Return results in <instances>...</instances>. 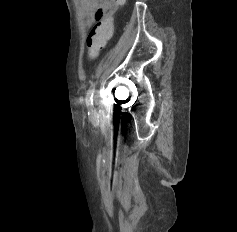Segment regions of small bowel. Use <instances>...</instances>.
<instances>
[{
    "label": "small bowel",
    "instance_id": "small-bowel-1",
    "mask_svg": "<svg viewBox=\"0 0 237 232\" xmlns=\"http://www.w3.org/2000/svg\"><path fill=\"white\" fill-rule=\"evenodd\" d=\"M81 4L88 24L104 20L119 6L118 0H81Z\"/></svg>",
    "mask_w": 237,
    "mask_h": 232
}]
</instances>
